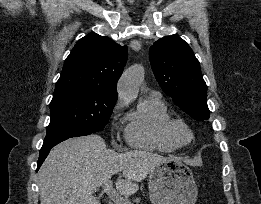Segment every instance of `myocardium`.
I'll return each mask as SVG.
<instances>
[{"label": "myocardium", "instance_id": "f54148a6", "mask_svg": "<svg viewBox=\"0 0 261 204\" xmlns=\"http://www.w3.org/2000/svg\"><path fill=\"white\" fill-rule=\"evenodd\" d=\"M167 131L178 146H186L194 139L191 127L182 119H171L167 125ZM182 133L186 134V138L182 137Z\"/></svg>", "mask_w": 261, "mask_h": 204}]
</instances>
